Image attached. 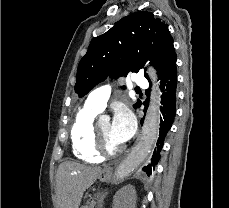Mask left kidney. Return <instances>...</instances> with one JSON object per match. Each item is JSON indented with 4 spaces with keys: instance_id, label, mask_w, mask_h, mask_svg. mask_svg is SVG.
<instances>
[{
    "instance_id": "obj_1",
    "label": "left kidney",
    "mask_w": 229,
    "mask_h": 208,
    "mask_svg": "<svg viewBox=\"0 0 229 208\" xmlns=\"http://www.w3.org/2000/svg\"><path fill=\"white\" fill-rule=\"evenodd\" d=\"M136 192L134 186L128 184L116 192L113 200V208H135Z\"/></svg>"
}]
</instances>
